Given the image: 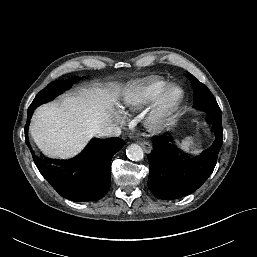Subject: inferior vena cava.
Instances as JSON below:
<instances>
[{
	"mask_svg": "<svg viewBox=\"0 0 257 257\" xmlns=\"http://www.w3.org/2000/svg\"><path fill=\"white\" fill-rule=\"evenodd\" d=\"M102 134L105 136L116 137L121 134V129L114 124H109L102 128Z\"/></svg>",
	"mask_w": 257,
	"mask_h": 257,
	"instance_id": "inferior-vena-cava-1",
	"label": "inferior vena cava"
}]
</instances>
